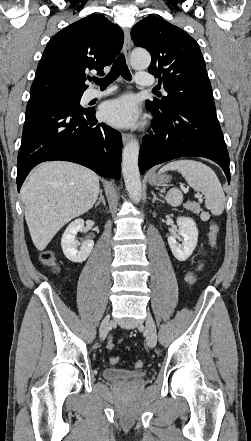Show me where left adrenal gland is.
<instances>
[{
  "instance_id": "left-adrenal-gland-1",
  "label": "left adrenal gland",
  "mask_w": 251,
  "mask_h": 441,
  "mask_svg": "<svg viewBox=\"0 0 251 441\" xmlns=\"http://www.w3.org/2000/svg\"><path fill=\"white\" fill-rule=\"evenodd\" d=\"M152 193V195H153V199H152V202L154 203L156 200H159V201H161L162 202V200L161 199H159L157 196H156V194H155V192L154 191H152L151 192Z\"/></svg>"
}]
</instances>
